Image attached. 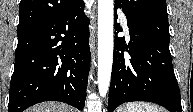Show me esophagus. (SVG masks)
<instances>
[{"mask_svg":"<svg viewBox=\"0 0 193 112\" xmlns=\"http://www.w3.org/2000/svg\"><path fill=\"white\" fill-rule=\"evenodd\" d=\"M90 40H92V35L90 36Z\"/></svg>","mask_w":193,"mask_h":112,"instance_id":"obj_1","label":"esophagus"}]
</instances>
